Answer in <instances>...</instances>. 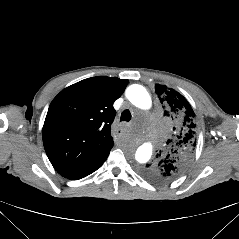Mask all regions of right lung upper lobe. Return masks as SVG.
I'll use <instances>...</instances> for the list:
<instances>
[{"label":"right lung upper lobe","mask_w":239,"mask_h":239,"mask_svg":"<svg viewBox=\"0 0 239 239\" xmlns=\"http://www.w3.org/2000/svg\"><path fill=\"white\" fill-rule=\"evenodd\" d=\"M128 80L97 76L62 90L51 102L43 125L46 154L63 177L84 168L113 147V103Z\"/></svg>","instance_id":"right-lung-upper-lobe-1"}]
</instances>
